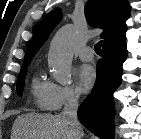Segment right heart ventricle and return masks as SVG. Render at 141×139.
Listing matches in <instances>:
<instances>
[{"instance_id": "right-heart-ventricle-1", "label": "right heart ventricle", "mask_w": 141, "mask_h": 139, "mask_svg": "<svg viewBox=\"0 0 141 139\" xmlns=\"http://www.w3.org/2000/svg\"><path fill=\"white\" fill-rule=\"evenodd\" d=\"M30 91L34 105L41 110L48 109L50 82L36 76L31 81Z\"/></svg>"}]
</instances>
